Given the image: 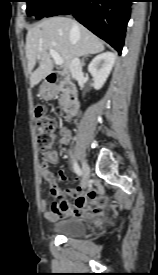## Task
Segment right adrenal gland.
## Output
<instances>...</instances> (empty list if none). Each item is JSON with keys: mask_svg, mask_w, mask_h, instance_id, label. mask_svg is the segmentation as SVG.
Returning a JSON list of instances; mask_svg holds the SVG:
<instances>
[{"mask_svg": "<svg viewBox=\"0 0 158 275\" xmlns=\"http://www.w3.org/2000/svg\"><path fill=\"white\" fill-rule=\"evenodd\" d=\"M90 57V55H86L82 58V65L85 66V60Z\"/></svg>", "mask_w": 158, "mask_h": 275, "instance_id": "2a0ac1e0", "label": "right adrenal gland"}]
</instances>
